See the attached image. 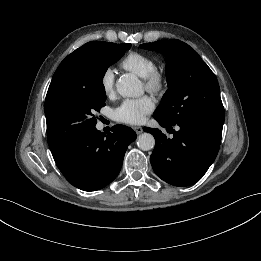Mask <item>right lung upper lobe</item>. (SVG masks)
<instances>
[{"label": "right lung upper lobe", "mask_w": 261, "mask_h": 261, "mask_svg": "<svg viewBox=\"0 0 261 261\" xmlns=\"http://www.w3.org/2000/svg\"><path fill=\"white\" fill-rule=\"evenodd\" d=\"M107 43L102 41L88 42L68 55L60 63L53 75L46 95L45 105L60 93L85 85L87 76L84 68L87 55Z\"/></svg>", "instance_id": "right-lung-upper-lobe-1"}]
</instances>
